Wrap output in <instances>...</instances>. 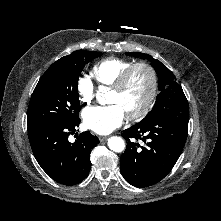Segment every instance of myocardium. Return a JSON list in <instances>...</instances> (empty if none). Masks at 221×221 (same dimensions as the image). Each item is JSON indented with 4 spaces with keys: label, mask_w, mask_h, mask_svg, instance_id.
<instances>
[{
    "label": "myocardium",
    "mask_w": 221,
    "mask_h": 221,
    "mask_svg": "<svg viewBox=\"0 0 221 221\" xmlns=\"http://www.w3.org/2000/svg\"><path fill=\"white\" fill-rule=\"evenodd\" d=\"M137 69H142L147 72L150 81L148 96L142 107L130 114H127L129 120H138L144 117L152 108L158 92V75L156 70L146 62H135L126 68L112 86V90L121 93L127 87L129 80Z\"/></svg>",
    "instance_id": "f54148a6"
}]
</instances>
